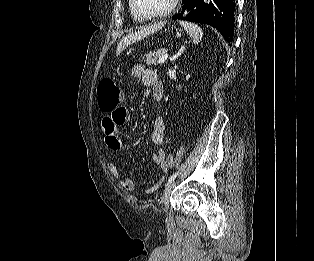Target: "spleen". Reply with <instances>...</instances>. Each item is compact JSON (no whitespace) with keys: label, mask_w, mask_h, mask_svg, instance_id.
I'll list each match as a JSON object with an SVG mask.
<instances>
[{"label":"spleen","mask_w":314,"mask_h":261,"mask_svg":"<svg viewBox=\"0 0 314 261\" xmlns=\"http://www.w3.org/2000/svg\"><path fill=\"white\" fill-rule=\"evenodd\" d=\"M180 25L191 36L194 44H198L202 40L203 31L198 25L184 21L180 22Z\"/></svg>","instance_id":"spleen-1"}]
</instances>
